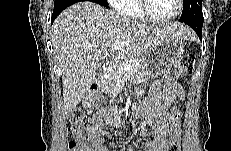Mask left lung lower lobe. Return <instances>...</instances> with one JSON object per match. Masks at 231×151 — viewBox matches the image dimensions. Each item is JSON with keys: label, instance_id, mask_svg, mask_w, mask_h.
Here are the masks:
<instances>
[{"label": "left lung lower lobe", "instance_id": "left-lung-lower-lobe-1", "mask_svg": "<svg viewBox=\"0 0 231 151\" xmlns=\"http://www.w3.org/2000/svg\"><path fill=\"white\" fill-rule=\"evenodd\" d=\"M180 22H184L185 24L192 27L194 29V31L197 33L200 40H202L203 20H200V19L196 18V19H193V20H185V21H180Z\"/></svg>", "mask_w": 231, "mask_h": 151}]
</instances>
